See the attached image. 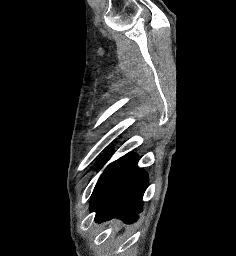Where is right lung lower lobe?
Wrapping results in <instances>:
<instances>
[{"label": "right lung lower lobe", "mask_w": 236, "mask_h": 256, "mask_svg": "<svg viewBox=\"0 0 236 256\" xmlns=\"http://www.w3.org/2000/svg\"><path fill=\"white\" fill-rule=\"evenodd\" d=\"M138 158L128 154L110 164L99 178L90 200V211L98 223L119 218L125 223L142 212L147 173L137 166Z\"/></svg>", "instance_id": "98d812e1"}]
</instances>
